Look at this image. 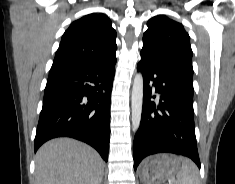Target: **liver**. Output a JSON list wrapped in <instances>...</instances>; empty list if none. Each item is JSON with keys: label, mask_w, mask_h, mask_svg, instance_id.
Returning a JSON list of instances; mask_svg holds the SVG:
<instances>
[{"label": "liver", "mask_w": 235, "mask_h": 184, "mask_svg": "<svg viewBox=\"0 0 235 184\" xmlns=\"http://www.w3.org/2000/svg\"><path fill=\"white\" fill-rule=\"evenodd\" d=\"M36 184H101L104 162L99 154L71 138H55L39 148Z\"/></svg>", "instance_id": "obj_1"}]
</instances>
